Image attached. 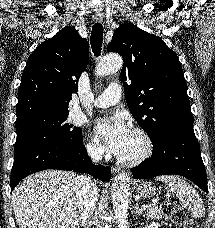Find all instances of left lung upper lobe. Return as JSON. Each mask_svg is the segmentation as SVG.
I'll list each match as a JSON object with an SVG mask.
<instances>
[{"instance_id": "obj_1", "label": "left lung upper lobe", "mask_w": 215, "mask_h": 228, "mask_svg": "<svg viewBox=\"0 0 215 228\" xmlns=\"http://www.w3.org/2000/svg\"><path fill=\"white\" fill-rule=\"evenodd\" d=\"M107 50L123 57L127 105L152 143L168 130L193 125L181 64L162 39L125 23L116 29Z\"/></svg>"}]
</instances>
